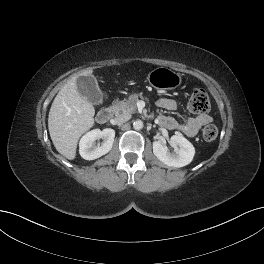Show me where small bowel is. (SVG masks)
<instances>
[{
    "label": "small bowel",
    "mask_w": 264,
    "mask_h": 264,
    "mask_svg": "<svg viewBox=\"0 0 264 264\" xmlns=\"http://www.w3.org/2000/svg\"><path fill=\"white\" fill-rule=\"evenodd\" d=\"M157 106L167 110H176L177 103L169 98H160L157 101ZM212 118L208 114L198 115L196 117H190L184 122H178L176 119L170 116L159 115L158 122L161 126L169 130H179L189 137L195 136L200 128L209 122Z\"/></svg>",
    "instance_id": "1"
}]
</instances>
